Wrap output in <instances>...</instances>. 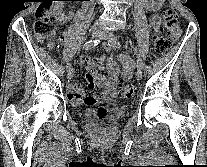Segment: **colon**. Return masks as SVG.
Here are the masks:
<instances>
[{
    "label": "colon",
    "instance_id": "colon-1",
    "mask_svg": "<svg viewBox=\"0 0 207 167\" xmlns=\"http://www.w3.org/2000/svg\"><path fill=\"white\" fill-rule=\"evenodd\" d=\"M164 17V28L167 32V37L156 35L153 40L155 51L161 54L166 52L169 46L172 43L177 42L182 35V30L177 15L171 11H166ZM54 29L55 28L52 21V12L50 7H38L36 11V21L34 23V30L36 33L43 37H50L54 33ZM124 80L126 79L124 78ZM119 91L123 96L131 97L136 92V86L132 82L124 81L120 84ZM105 118V113L100 111V122L103 123Z\"/></svg>",
    "mask_w": 207,
    "mask_h": 167
}]
</instances>
